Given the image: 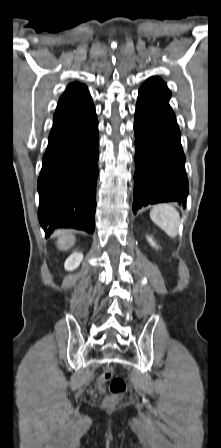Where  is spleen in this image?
<instances>
[{"label": "spleen", "instance_id": "spleen-1", "mask_svg": "<svg viewBox=\"0 0 221 448\" xmlns=\"http://www.w3.org/2000/svg\"><path fill=\"white\" fill-rule=\"evenodd\" d=\"M151 220L161 228L169 237L178 235L180 215L179 212L169 204H159L150 211Z\"/></svg>", "mask_w": 221, "mask_h": 448}]
</instances>
